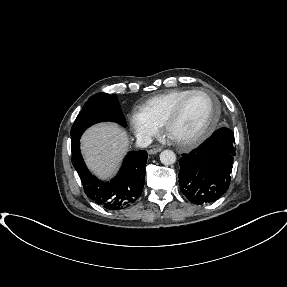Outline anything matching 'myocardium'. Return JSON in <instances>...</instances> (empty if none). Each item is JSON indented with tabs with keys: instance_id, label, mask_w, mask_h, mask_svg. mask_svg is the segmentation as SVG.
<instances>
[{
	"instance_id": "obj_1",
	"label": "myocardium",
	"mask_w": 287,
	"mask_h": 287,
	"mask_svg": "<svg viewBox=\"0 0 287 287\" xmlns=\"http://www.w3.org/2000/svg\"><path fill=\"white\" fill-rule=\"evenodd\" d=\"M197 94H202L205 95L209 98L210 102H211V112H210V116H209V120L207 122V124L205 125V127L198 132L197 134L187 137V138H183V139H173L169 136V129L171 127V125L176 121V119L179 117L183 106L185 105V103L187 102V100ZM218 114H219V109H218V104L215 100V98L207 91L204 90H193L191 92H189L187 95H185L184 97H182L177 104L174 106V108L171 110V112L167 115V117L165 118L162 127L163 130L165 132V134L172 140L174 141L176 144L181 145V146H194L197 145L199 143H201L202 141H204L214 130L217 121H218Z\"/></svg>"
}]
</instances>
